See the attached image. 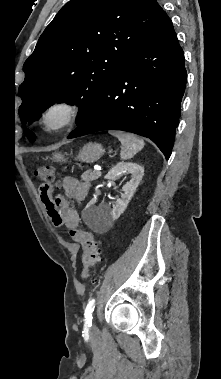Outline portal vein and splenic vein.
<instances>
[{
	"instance_id": "18ae733b",
	"label": "portal vein and splenic vein",
	"mask_w": 221,
	"mask_h": 379,
	"mask_svg": "<svg viewBox=\"0 0 221 379\" xmlns=\"http://www.w3.org/2000/svg\"><path fill=\"white\" fill-rule=\"evenodd\" d=\"M94 169L96 170V171H101V167L100 166H94Z\"/></svg>"
}]
</instances>
